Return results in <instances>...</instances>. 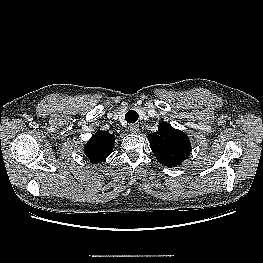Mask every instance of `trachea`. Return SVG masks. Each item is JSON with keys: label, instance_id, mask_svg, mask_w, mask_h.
Wrapping results in <instances>:
<instances>
[{"label": "trachea", "instance_id": "1", "mask_svg": "<svg viewBox=\"0 0 263 263\" xmlns=\"http://www.w3.org/2000/svg\"><path fill=\"white\" fill-rule=\"evenodd\" d=\"M125 120L127 123H135L138 120V113L134 110H129L125 114Z\"/></svg>", "mask_w": 263, "mask_h": 263}]
</instances>
